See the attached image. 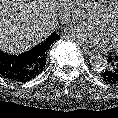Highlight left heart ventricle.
<instances>
[{"instance_id":"1","label":"left heart ventricle","mask_w":118,"mask_h":118,"mask_svg":"<svg viewBox=\"0 0 118 118\" xmlns=\"http://www.w3.org/2000/svg\"><path fill=\"white\" fill-rule=\"evenodd\" d=\"M93 21L106 31L113 45H118V5L111 14L97 13Z\"/></svg>"}]
</instances>
